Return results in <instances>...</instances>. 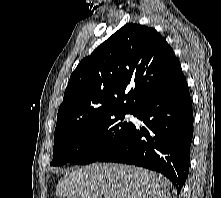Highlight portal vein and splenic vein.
<instances>
[{"mask_svg":"<svg viewBox=\"0 0 221 198\" xmlns=\"http://www.w3.org/2000/svg\"><path fill=\"white\" fill-rule=\"evenodd\" d=\"M104 198H111L110 195H105Z\"/></svg>","mask_w":221,"mask_h":198,"instance_id":"1","label":"portal vein and splenic vein"}]
</instances>
